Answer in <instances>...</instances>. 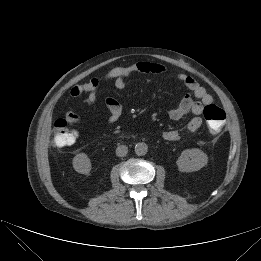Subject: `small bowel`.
<instances>
[{
  "label": "small bowel",
  "instance_id": "obj_1",
  "mask_svg": "<svg viewBox=\"0 0 261 261\" xmlns=\"http://www.w3.org/2000/svg\"><path fill=\"white\" fill-rule=\"evenodd\" d=\"M165 71V67L151 62L140 61L126 66L115 67L107 72L102 78H92L87 82L74 85L70 89V95L73 98L80 97L83 94L87 95V103L95 105L97 103V95L100 85L103 81H113L114 86L122 90L126 86V80L134 74H159ZM177 79L190 91V95H186L181 102L169 111V117L172 120L178 121L187 114H192L193 117L183 127L182 130L188 132L197 131L202 125L201 114L204 107L211 104L212 96L201 86L193 77L185 73H179ZM109 112L107 118L108 123L116 122L122 114L121 104L114 98L108 97L104 101ZM65 120L71 124H78L82 121L81 116L74 111H67ZM180 130L170 129L163 133V138L166 141L174 142L180 138Z\"/></svg>",
  "mask_w": 261,
  "mask_h": 261
}]
</instances>
